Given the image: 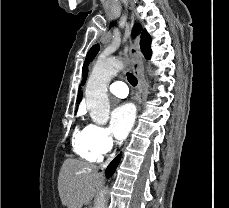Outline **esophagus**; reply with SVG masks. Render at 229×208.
Returning <instances> with one entry per match:
<instances>
[{"mask_svg":"<svg viewBox=\"0 0 229 208\" xmlns=\"http://www.w3.org/2000/svg\"><path fill=\"white\" fill-rule=\"evenodd\" d=\"M140 55V37L137 36L131 41L129 46L130 65L133 69L135 77L138 79V93L137 98L139 105L141 106L146 98L143 88V75H142V63L139 59Z\"/></svg>","mask_w":229,"mask_h":208,"instance_id":"esophagus-1","label":"esophagus"}]
</instances>
